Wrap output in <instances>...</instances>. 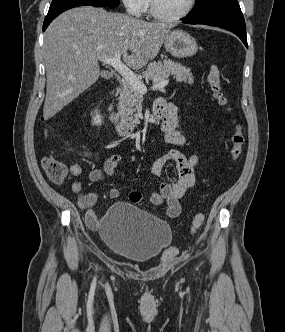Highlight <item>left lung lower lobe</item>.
<instances>
[{
	"mask_svg": "<svg viewBox=\"0 0 285 332\" xmlns=\"http://www.w3.org/2000/svg\"><path fill=\"white\" fill-rule=\"evenodd\" d=\"M183 22L189 24H205L217 26L229 30L236 34L248 47L246 38V26L242 12L225 13L210 17H185Z\"/></svg>",
	"mask_w": 285,
	"mask_h": 332,
	"instance_id": "obj_1",
	"label": "left lung lower lobe"
}]
</instances>
